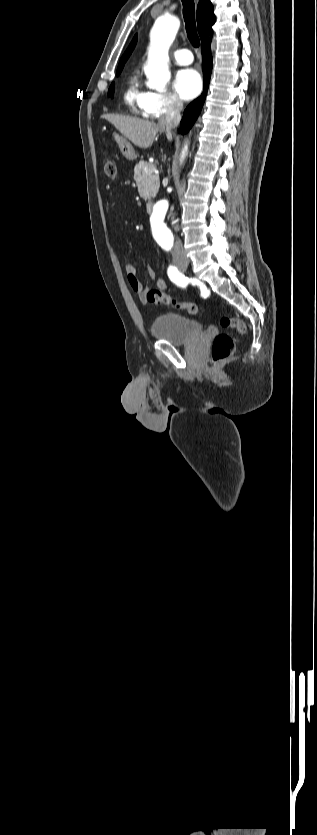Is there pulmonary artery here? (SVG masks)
<instances>
[{
  "instance_id": "e3ab8cb5",
  "label": "pulmonary artery",
  "mask_w": 317,
  "mask_h": 835,
  "mask_svg": "<svg viewBox=\"0 0 317 835\" xmlns=\"http://www.w3.org/2000/svg\"><path fill=\"white\" fill-rule=\"evenodd\" d=\"M173 57L180 65H188L192 63L193 56L188 49H177L173 52Z\"/></svg>"
}]
</instances>
